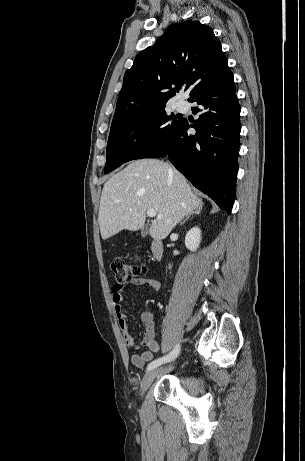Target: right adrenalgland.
<instances>
[{"mask_svg": "<svg viewBox=\"0 0 305 461\" xmlns=\"http://www.w3.org/2000/svg\"><path fill=\"white\" fill-rule=\"evenodd\" d=\"M202 208H197L196 210L192 211L191 213L187 214L185 218L180 222V225L184 224L187 220L191 218L193 215H199L201 213Z\"/></svg>", "mask_w": 305, "mask_h": 461, "instance_id": "2a0ac1e0", "label": "right adrenal gland"}]
</instances>
